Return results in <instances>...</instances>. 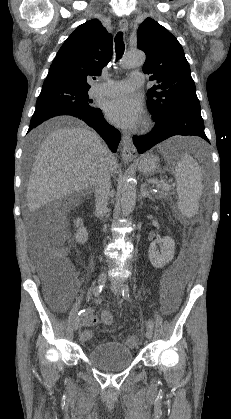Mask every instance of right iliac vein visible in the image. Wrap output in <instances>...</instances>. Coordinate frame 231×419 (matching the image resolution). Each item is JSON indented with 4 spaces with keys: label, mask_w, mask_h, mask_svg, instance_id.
<instances>
[{
    "label": "right iliac vein",
    "mask_w": 231,
    "mask_h": 419,
    "mask_svg": "<svg viewBox=\"0 0 231 419\" xmlns=\"http://www.w3.org/2000/svg\"><path fill=\"white\" fill-rule=\"evenodd\" d=\"M106 280H107V275H106V273H102L100 276H99V278H98V284L99 285H103L105 282H106ZM81 320H82V318L81 317H76L75 319H74V321H73V329L76 331L77 329H79L80 328V326H81Z\"/></svg>",
    "instance_id": "right-iliac-vein-1"
}]
</instances>
